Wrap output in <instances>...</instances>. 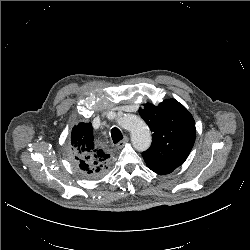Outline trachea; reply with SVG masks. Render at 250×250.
<instances>
[{
    "mask_svg": "<svg viewBox=\"0 0 250 250\" xmlns=\"http://www.w3.org/2000/svg\"><path fill=\"white\" fill-rule=\"evenodd\" d=\"M111 137L114 143H118L120 140L123 139L121 131L116 127L112 128Z\"/></svg>",
    "mask_w": 250,
    "mask_h": 250,
    "instance_id": "obj_1",
    "label": "trachea"
}]
</instances>
